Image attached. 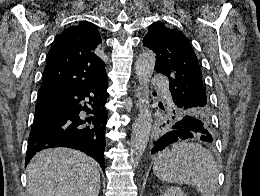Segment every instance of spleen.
Segmentation results:
<instances>
[{
	"mask_svg": "<svg viewBox=\"0 0 260 196\" xmlns=\"http://www.w3.org/2000/svg\"><path fill=\"white\" fill-rule=\"evenodd\" d=\"M153 172L161 182L196 186L202 196H215L218 184L217 164L201 144H172L153 162Z\"/></svg>",
	"mask_w": 260,
	"mask_h": 196,
	"instance_id": "3e777b00",
	"label": "spleen"
}]
</instances>
